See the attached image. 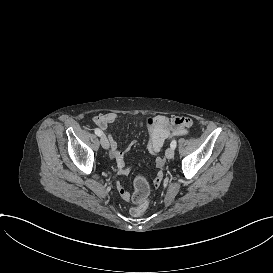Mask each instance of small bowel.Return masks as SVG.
<instances>
[{
  "mask_svg": "<svg viewBox=\"0 0 273 273\" xmlns=\"http://www.w3.org/2000/svg\"><path fill=\"white\" fill-rule=\"evenodd\" d=\"M120 120V116L114 112L98 114L93 118V123L97 128L106 133L109 152L112 159H114L122 173L127 174L129 168L126 164L125 151L122 150L113 135L107 132L108 127ZM191 120L183 116H167L158 114L153 117V123L148 125V142L147 149L151 154L158 153L164 146L167 139L173 135H184L187 129L191 126ZM162 158L156 159V164L163 165ZM165 165V164H164ZM157 167V166H156ZM162 174L156 173L154 177L153 188H161ZM116 190L121 194L125 201L131 200V195L122 184L116 185Z\"/></svg>",
  "mask_w": 273,
  "mask_h": 273,
  "instance_id": "small-bowel-1",
  "label": "small bowel"
}]
</instances>
